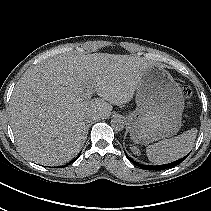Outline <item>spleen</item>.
Masks as SVG:
<instances>
[{"mask_svg": "<svg viewBox=\"0 0 211 211\" xmlns=\"http://www.w3.org/2000/svg\"><path fill=\"white\" fill-rule=\"evenodd\" d=\"M197 132V128H192L174 138L149 145L146 148L148 159L154 164H165L184 157L193 148Z\"/></svg>", "mask_w": 211, "mask_h": 211, "instance_id": "obj_1", "label": "spleen"}]
</instances>
